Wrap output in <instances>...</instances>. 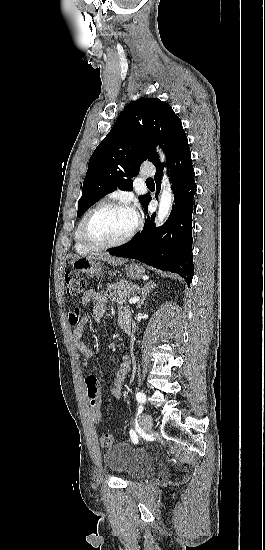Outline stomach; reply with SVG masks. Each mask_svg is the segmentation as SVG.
Masks as SVG:
<instances>
[{
    "instance_id": "obj_1",
    "label": "stomach",
    "mask_w": 265,
    "mask_h": 550,
    "mask_svg": "<svg viewBox=\"0 0 265 550\" xmlns=\"http://www.w3.org/2000/svg\"><path fill=\"white\" fill-rule=\"evenodd\" d=\"M71 264L77 271L94 276L100 275L102 271V263L96 255L77 257L72 260ZM125 269L127 276L131 279H139L145 273V269L138 264L127 265Z\"/></svg>"
}]
</instances>
